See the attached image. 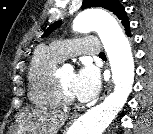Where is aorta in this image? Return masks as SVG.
I'll list each match as a JSON object with an SVG mask.
<instances>
[{
	"label": "aorta",
	"mask_w": 153,
	"mask_h": 134,
	"mask_svg": "<svg viewBox=\"0 0 153 134\" xmlns=\"http://www.w3.org/2000/svg\"><path fill=\"white\" fill-rule=\"evenodd\" d=\"M76 32L96 31L107 53L114 83V92L88 110L72 126V134H103L123 108L134 82V59L131 46L117 21L97 9L79 13L74 22Z\"/></svg>",
	"instance_id": "aorta-1"
}]
</instances>
